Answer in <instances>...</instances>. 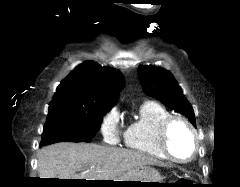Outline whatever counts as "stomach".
Returning a JSON list of instances; mask_svg holds the SVG:
<instances>
[{
  "label": "stomach",
  "mask_w": 240,
  "mask_h": 187,
  "mask_svg": "<svg viewBox=\"0 0 240 187\" xmlns=\"http://www.w3.org/2000/svg\"><path fill=\"white\" fill-rule=\"evenodd\" d=\"M123 181V182H112ZM142 182H158V183H142ZM110 186L119 187H158L161 182L159 172L150 166L138 168L127 172L117 179L111 180Z\"/></svg>",
  "instance_id": "0dacf381"
}]
</instances>
